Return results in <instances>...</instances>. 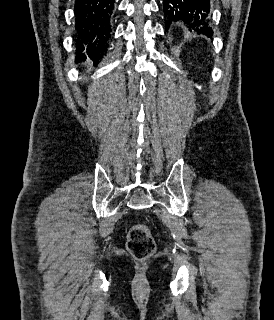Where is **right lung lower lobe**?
<instances>
[{
  "label": "right lung lower lobe",
  "mask_w": 274,
  "mask_h": 320,
  "mask_svg": "<svg viewBox=\"0 0 274 320\" xmlns=\"http://www.w3.org/2000/svg\"><path fill=\"white\" fill-rule=\"evenodd\" d=\"M115 0H76L75 29L77 60H85L86 51L96 61L106 53L114 17Z\"/></svg>",
  "instance_id": "1"
}]
</instances>
